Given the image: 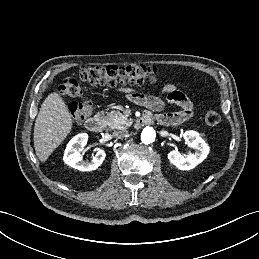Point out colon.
Segmentation results:
<instances>
[{
	"label": "colon",
	"mask_w": 259,
	"mask_h": 259,
	"mask_svg": "<svg viewBox=\"0 0 259 259\" xmlns=\"http://www.w3.org/2000/svg\"><path fill=\"white\" fill-rule=\"evenodd\" d=\"M79 79L91 85L106 86H142L146 83H155L158 80V71L154 66L128 65L120 66H90L83 68L79 73ZM60 92L68 97L80 98L83 96L82 87L77 79H65L59 88ZM93 105L90 100L82 99L69 105V112L75 122L85 120L92 113ZM221 116L217 109L209 110L205 114V122L209 126H215L220 122Z\"/></svg>",
	"instance_id": "5ec220e1"
}]
</instances>
